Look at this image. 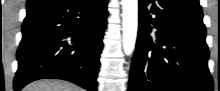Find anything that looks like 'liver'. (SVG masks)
<instances>
[{
	"instance_id": "obj_1",
	"label": "liver",
	"mask_w": 220,
	"mask_h": 91,
	"mask_svg": "<svg viewBox=\"0 0 220 91\" xmlns=\"http://www.w3.org/2000/svg\"><path fill=\"white\" fill-rule=\"evenodd\" d=\"M23 91H82L79 87L60 80H40L28 84Z\"/></svg>"
}]
</instances>
